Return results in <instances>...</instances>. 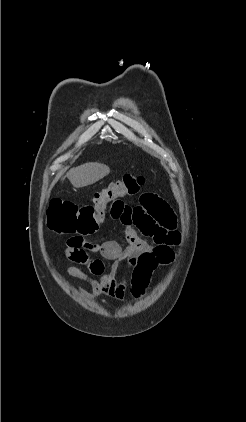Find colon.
Instances as JSON below:
<instances>
[{
    "instance_id": "obj_1",
    "label": "colon",
    "mask_w": 246,
    "mask_h": 422,
    "mask_svg": "<svg viewBox=\"0 0 246 422\" xmlns=\"http://www.w3.org/2000/svg\"><path fill=\"white\" fill-rule=\"evenodd\" d=\"M146 183L142 175L126 174L122 179L109 183L97 192L89 204L56 199L47 210V226L58 233L89 235L104 221L107 213L123 205L122 199L136 194ZM174 252L166 248H155L137 256L132 266L131 292L139 298L149 285L152 272L161 265L169 264Z\"/></svg>"
}]
</instances>
